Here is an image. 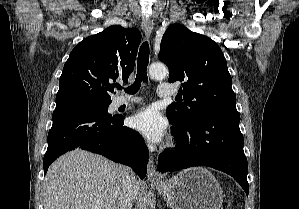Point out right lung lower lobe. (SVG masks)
<instances>
[{
    "label": "right lung lower lobe",
    "mask_w": 299,
    "mask_h": 209,
    "mask_svg": "<svg viewBox=\"0 0 299 209\" xmlns=\"http://www.w3.org/2000/svg\"><path fill=\"white\" fill-rule=\"evenodd\" d=\"M43 159L44 174L60 155L84 149L132 167L143 179L148 149L139 133L124 126L123 116L106 118L76 104H57Z\"/></svg>",
    "instance_id": "right-lung-lower-lobe-1"
}]
</instances>
